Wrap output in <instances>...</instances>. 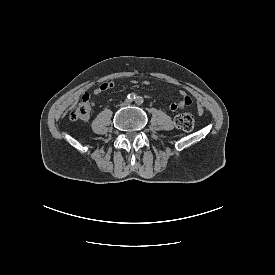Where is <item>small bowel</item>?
Here are the masks:
<instances>
[{
	"instance_id": "small-bowel-1",
	"label": "small bowel",
	"mask_w": 275,
	"mask_h": 275,
	"mask_svg": "<svg viewBox=\"0 0 275 275\" xmlns=\"http://www.w3.org/2000/svg\"><path fill=\"white\" fill-rule=\"evenodd\" d=\"M113 87L114 85H112L110 82H103L93 91V97L95 98L101 93L109 89H112ZM180 94H181V99L176 103L170 104L171 110H177L179 108L187 107L192 104L191 97L185 91H181ZM92 105H95V101H92ZM198 111L202 113V108H198Z\"/></svg>"
}]
</instances>
